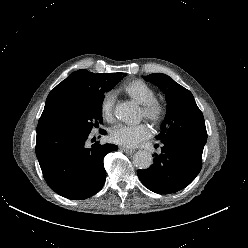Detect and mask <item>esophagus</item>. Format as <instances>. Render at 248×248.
Masks as SVG:
<instances>
[{
    "instance_id": "1",
    "label": "esophagus",
    "mask_w": 248,
    "mask_h": 248,
    "mask_svg": "<svg viewBox=\"0 0 248 248\" xmlns=\"http://www.w3.org/2000/svg\"><path fill=\"white\" fill-rule=\"evenodd\" d=\"M122 150L127 153V154H133L135 152L134 149H129V148H126V147H122Z\"/></svg>"
}]
</instances>
